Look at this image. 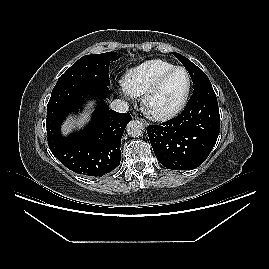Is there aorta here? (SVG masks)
<instances>
[{
  "label": "aorta",
  "mask_w": 269,
  "mask_h": 269,
  "mask_svg": "<svg viewBox=\"0 0 269 269\" xmlns=\"http://www.w3.org/2000/svg\"><path fill=\"white\" fill-rule=\"evenodd\" d=\"M127 133L131 137H140L145 131V126L142 122L137 120H132L127 125Z\"/></svg>",
  "instance_id": "obj_1"
}]
</instances>
